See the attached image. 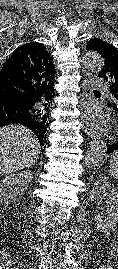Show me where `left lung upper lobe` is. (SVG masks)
I'll return each mask as SVG.
<instances>
[{
	"mask_svg": "<svg viewBox=\"0 0 118 269\" xmlns=\"http://www.w3.org/2000/svg\"><path fill=\"white\" fill-rule=\"evenodd\" d=\"M87 51H96L104 59V66L99 77H103L109 81L110 90L115 97V100L108 101V106L118 111V50L111 44L101 39H91L86 45Z\"/></svg>",
	"mask_w": 118,
	"mask_h": 269,
	"instance_id": "obj_1",
	"label": "left lung upper lobe"
}]
</instances>
